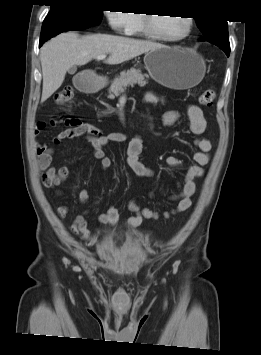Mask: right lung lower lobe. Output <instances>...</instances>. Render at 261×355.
Wrapping results in <instances>:
<instances>
[{"instance_id": "98d812e1", "label": "right lung lower lobe", "mask_w": 261, "mask_h": 355, "mask_svg": "<svg viewBox=\"0 0 261 355\" xmlns=\"http://www.w3.org/2000/svg\"><path fill=\"white\" fill-rule=\"evenodd\" d=\"M91 27V25L86 24L84 21L73 17V16H58L53 18H45L39 47L48 39L52 38L56 34H60L65 31L83 30Z\"/></svg>"}]
</instances>
